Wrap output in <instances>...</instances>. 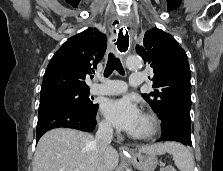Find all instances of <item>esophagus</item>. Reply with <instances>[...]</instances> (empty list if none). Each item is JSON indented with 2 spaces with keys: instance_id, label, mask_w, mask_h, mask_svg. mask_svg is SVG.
Returning a JSON list of instances; mask_svg holds the SVG:
<instances>
[{
  "instance_id": "1",
  "label": "esophagus",
  "mask_w": 223,
  "mask_h": 171,
  "mask_svg": "<svg viewBox=\"0 0 223 171\" xmlns=\"http://www.w3.org/2000/svg\"><path fill=\"white\" fill-rule=\"evenodd\" d=\"M122 25L123 26H120L119 30H117V39H118L117 45L118 49L121 52H125L126 50L129 49V43H131L132 34H130L129 27L126 26L127 25L126 21H123ZM120 150L123 153L131 152V150L127 146H122Z\"/></svg>"
}]
</instances>
